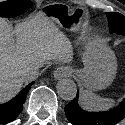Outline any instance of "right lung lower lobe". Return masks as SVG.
<instances>
[{
  "label": "right lung lower lobe",
  "mask_w": 125,
  "mask_h": 125,
  "mask_svg": "<svg viewBox=\"0 0 125 125\" xmlns=\"http://www.w3.org/2000/svg\"><path fill=\"white\" fill-rule=\"evenodd\" d=\"M33 84L34 82H31L12 100L0 105V124L12 122L17 118V116L23 110V104L25 102L27 93Z\"/></svg>",
  "instance_id": "1"
}]
</instances>
